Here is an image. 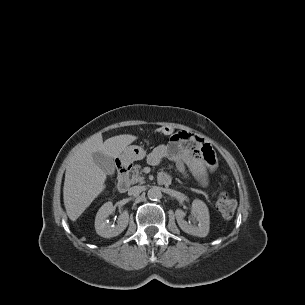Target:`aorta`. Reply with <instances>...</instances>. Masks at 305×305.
<instances>
[{
    "mask_svg": "<svg viewBox=\"0 0 305 305\" xmlns=\"http://www.w3.org/2000/svg\"><path fill=\"white\" fill-rule=\"evenodd\" d=\"M147 196L150 200H158L161 198L162 193L158 187H152L148 190Z\"/></svg>",
    "mask_w": 305,
    "mask_h": 305,
    "instance_id": "aorta-1",
    "label": "aorta"
}]
</instances>
